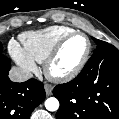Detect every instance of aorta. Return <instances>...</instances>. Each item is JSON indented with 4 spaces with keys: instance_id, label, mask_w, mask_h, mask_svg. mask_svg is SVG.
<instances>
[{
    "instance_id": "1",
    "label": "aorta",
    "mask_w": 119,
    "mask_h": 119,
    "mask_svg": "<svg viewBox=\"0 0 119 119\" xmlns=\"http://www.w3.org/2000/svg\"><path fill=\"white\" fill-rule=\"evenodd\" d=\"M45 107L48 111H56L59 108V101L55 97H50L45 101Z\"/></svg>"
}]
</instances>
